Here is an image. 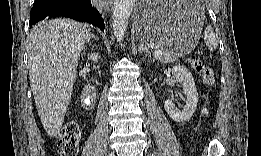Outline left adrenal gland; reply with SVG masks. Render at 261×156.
Returning a JSON list of instances; mask_svg holds the SVG:
<instances>
[{
    "label": "left adrenal gland",
    "instance_id": "a2214340",
    "mask_svg": "<svg viewBox=\"0 0 261 156\" xmlns=\"http://www.w3.org/2000/svg\"><path fill=\"white\" fill-rule=\"evenodd\" d=\"M139 41H140L139 53H147L151 57V51L150 49L147 48L143 39H140Z\"/></svg>",
    "mask_w": 261,
    "mask_h": 156
}]
</instances>
